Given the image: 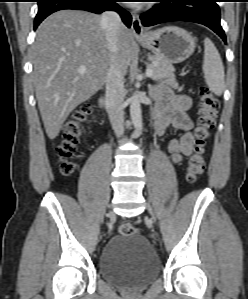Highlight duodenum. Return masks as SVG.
I'll return each instance as SVG.
<instances>
[{"mask_svg": "<svg viewBox=\"0 0 248 299\" xmlns=\"http://www.w3.org/2000/svg\"><path fill=\"white\" fill-rule=\"evenodd\" d=\"M100 104H101L102 108L104 109V111L110 110V102H109V99L107 98V96L104 95L101 97Z\"/></svg>", "mask_w": 248, "mask_h": 299, "instance_id": "obj_1", "label": "duodenum"}]
</instances>
